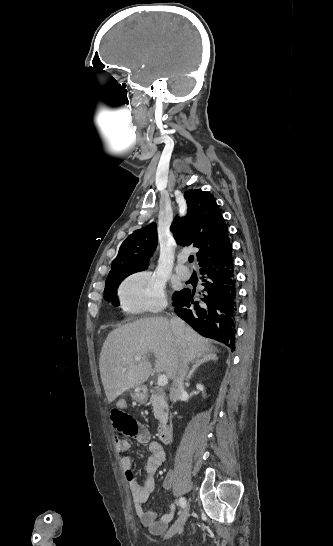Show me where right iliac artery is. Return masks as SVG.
<instances>
[{
    "label": "right iliac artery",
    "instance_id": "82829eb1",
    "mask_svg": "<svg viewBox=\"0 0 333 546\" xmlns=\"http://www.w3.org/2000/svg\"><path fill=\"white\" fill-rule=\"evenodd\" d=\"M179 504H180V506H181L182 508H185V506H186V500H185V498L181 497V498L179 499Z\"/></svg>",
    "mask_w": 333,
    "mask_h": 546
}]
</instances>
